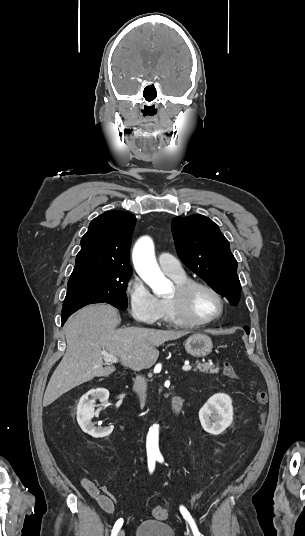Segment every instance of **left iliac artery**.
<instances>
[{
    "label": "left iliac artery",
    "instance_id": "1",
    "mask_svg": "<svg viewBox=\"0 0 305 536\" xmlns=\"http://www.w3.org/2000/svg\"><path fill=\"white\" fill-rule=\"evenodd\" d=\"M157 460L159 462H163V458L160 457V456L157 457ZM180 511H181V514L183 515V517L189 522L194 536H202L200 534V532L198 531V528H197L193 518L191 517L190 513L187 511V509L185 507L181 506Z\"/></svg>",
    "mask_w": 305,
    "mask_h": 536
}]
</instances>
